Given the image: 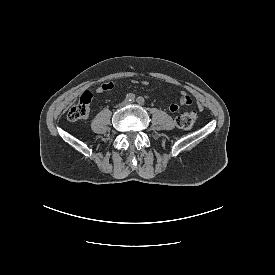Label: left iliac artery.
Returning <instances> with one entry per match:
<instances>
[{
  "mask_svg": "<svg viewBox=\"0 0 275 275\" xmlns=\"http://www.w3.org/2000/svg\"><path fill=\"white\" fill-rule=\"evenodd\" d=\"M137 102H138L139 104H144L145 100H144V98H142V97H138V98H137Z\"/></svg>",
  "mask_w": 275,
  "mask_h": 275,
  "instance_id": "obj_1",
  "label": "left iliac artery"
}]
</instances>
